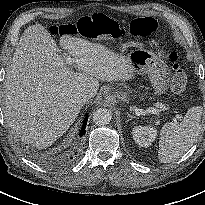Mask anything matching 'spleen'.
<instances>
[{"label":"spleen","mask_w":205,"mask_h":205,"mask_svg":"<svg viewBox=\"0 0 205 205\" xmlns=\"http://www.w3.org/2000/svg\"><path fill=\"white\" fill-rule=\"evenodd\" d=\"M201 106L190 108L180 123H165L160 131L158 157L170 163L181 157L196 142L200 133Z\"/></svg>","instance_id":"spleen-1"}]
</instances>
